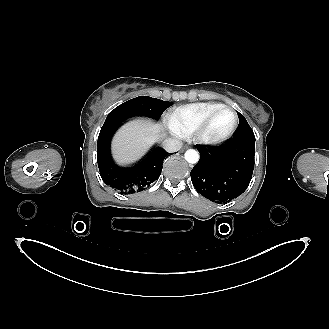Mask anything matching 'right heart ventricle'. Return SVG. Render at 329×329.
<instances>
[{"label":"right heart ventricle","instance_id":"e07e8e85","mask_svg":"<svg viewBox=\"0 0 329 329\" xmlns=\"http://www.w3.org/2000/svg\"><path fill=\"white\" fill-rule=\"evenodd\" d=\"M220 102H199L173 109L169 114V123L179 136H187L215 109L223 106Z\"/></svg>","mask_w":329,"mask_h":329}]
</instances>
